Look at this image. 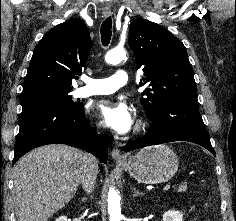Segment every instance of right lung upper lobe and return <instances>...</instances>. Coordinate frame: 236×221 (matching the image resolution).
I'll list each match as a JSON object with an SVG mask.
<instances>
[{
    "label": "right lung upper lobe",
    "mask_w": 236,
    "mask_h": 221,
    "mask_svg": "<svg viewBox=\"0 0 236 221\" xmlns=\"http://www.w3.org/2000/svg\"><path fill=\"white\" fill-rule=\"evenodd\" d=\"M91 48L83 21L69 19L50 29L36 45L23 83V93L39 89L72 90Z\"/></svg>",
    "instance_id": "cb5924a9"
}]
</instances>
